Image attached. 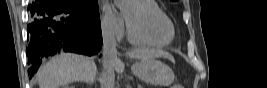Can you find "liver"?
<instances>
[{
  "instance_id": "obj_1",
  "label": "liver",
  "mask_w": 267,
  "mask_h": 88,
  "mask_svg": "<svg viewBox=\"0 0 267 88\" xmlns=\"http://www.w3.org/2000/svg\"><path fill=\"white\" fill-rule=\"evenodd\" d=\"M133 59L169 58L171 56L163 51L138 48L127 52ZM125 64L117 58L114 70L122 74ZM96 74V65L93 58L76 55L61 54L42 65L37 73L39 88H59L76 81L92 82Z\"/></svg>"
}]
</instances>
